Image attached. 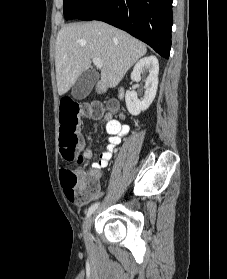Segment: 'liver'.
Instances as JSON below:
<instances>
[{
  "label": "liver",
  "instance_id": "1",
  "mask_svg": "<svg viewBox=\"0 0 227 279\" xmlns=\"http://www.w3.org/2000/svg\"><path fill=\"white\" fill-rule=\"evenodd\" d=\"M147 52L145 44L103 22L72 23L56 39L55 68L58 94L64 95L87 71L93 58L102 61L101 80L116 87L127 71Z\"/></svg>",
  "mask_w": 227,
  "mask_h": 279
}]
</instances>
